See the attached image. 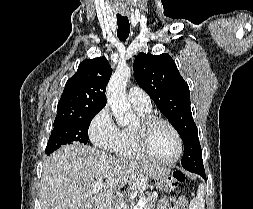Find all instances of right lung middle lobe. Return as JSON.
Listing matches in <instances>:
<instances>
[{
  "label": "right lung middle lobe",
  "instance_id": "obj_1",
  "mask_svg": "<svg viewBox=\"0 0 253 209\" xmlns=\"http://www.w3.org/2000/svg\"><path fill=\"white\" fill-rule=\"evenodd\" d=\"M99 112L91 111L81 116H74L54 121L45 152L47 155L58 149L61 145L80 142L87 144L88 128L93 117Z\"/></svg>",
  "mask_w": 253,
  "mask_h": 209
}]
</instances>
